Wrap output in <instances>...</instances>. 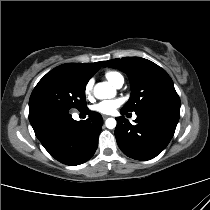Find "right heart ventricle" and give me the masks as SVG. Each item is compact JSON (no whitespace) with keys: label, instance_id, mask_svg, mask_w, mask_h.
Returning a JSON list of instances; mask_svg holds the SVG:
<instances>
[{"label":"right heart ventricle","instance_id":"obj_1","mask_svg":"<svg viewBox=\"0 0 210 210\" xmlns=\"http://www.w3.org/2000/svg\"><path fill=\"white\" fill-rule=\"evenodd\" d=\"M105 78L113 85H116L119 81L123 80V76L119 72L112 70L105 72Z\"/></svg>","mask_w":210,"mask_h":210}]
</instances>
